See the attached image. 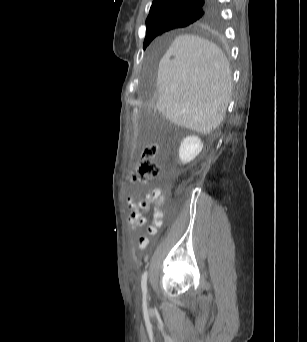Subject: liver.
Wrapping results in <instances>:
<instances>
[{
	"label": "liver",
	"instance_id": "1",
	"mask_svg": "<svg viewBox=\"0 0 307 342\" xmlns=\"http://www.w3.org/2000/svg\"><path fill=\"white\" fill-rule=\"evenodd\" d=\"M156 110L167 120L211 134L223 122L232 78L222 50L199 36H177L159 62Z\"/></svg>",
	"mask_w": 307,
	"mask_h": 342
}]
</instances>
